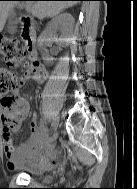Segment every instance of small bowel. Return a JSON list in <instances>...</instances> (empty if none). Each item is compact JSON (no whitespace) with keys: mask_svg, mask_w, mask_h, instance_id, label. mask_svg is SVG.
<instances>
[{"mask_svg":"<svg viewBox=\"0 0 137 189\" xmlns=\"http://www.w3.org/2000/svg\"><path fill=\"white\" fill-rule=\"evenodd\" d=\"M47 71L39 63L33 64L26 70L22 82L30 79L37 83H43L47 79ZM10 105L0 102L1 135L4 141V151L8 159L10 169H25L35 165L44 164L54 148L50 142L43 143L45 127L32 116L29 138L18 146L12 142L11 133L17 132L27 118L30 107L28 101L22 97L19 91H15Z\"/></svg>","mask_w":137,"mask_h":189,"instance_id":"c3829d8e","label":"small bowel"}]
</instances>
